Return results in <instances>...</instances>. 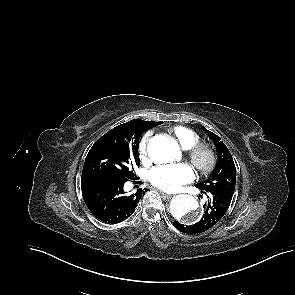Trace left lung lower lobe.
Returning a JSON list of instances; mask_svg holds the SVG:
<instances>
[{"label": "left lung lower lobe", "mask_w": 295, "mask_h": 295, "mask_svg": "<svg viewBox=\"0 0 295 295\" xmlns=\"http://www.w3.org/2000/svg\"><path fill=\"white\" fill-rule=\"evenodd\" d=\"M205 193L208 195V202L204 205L205 211L203 217L193 225H184L175 221L174 225L179 231L187 234L202 233L215 226L224 216L229 208L233 195L221 191Z\"/></svg>", "instance_id": "obj_1"}]
</instances>
